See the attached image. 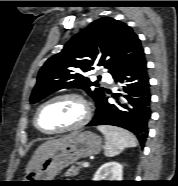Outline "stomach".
I'll list each match as a JSON object with an SVG mask.
<instances>
[{"label":"stomach","instance_id":"1","mask_svg":"<svg viewBox=\"0 0 178 186\" xmlns=\"http://www.w3.org/2000/svg\"><path fill=\"white\" fill-rule=\"evenodd\" d=\"M102 148L101 138L91 132L84 131L76 134L65 144L52 151L25 177L24 181L32 186H44L54 181L55 176L65 167L81 158L98 154ZM40 181V182H37Z\"/></svg>","mask_w":178,"mask_h":186}]
</instances>
